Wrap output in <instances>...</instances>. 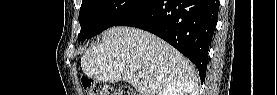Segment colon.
Masks as SVG:
<instances>
[{
    "label": "colon",
    "mask_w": 277,
    "mask_h": 95,
    "mask_svg": "<svg viewBox=\"0 0 277 95\" xmlns=\"http://www.w3.org/2000/svg\"><path fill=\"white\" fill-rule=\"evenodd\" d=\"M82 85L88 95H137L130 86H120L114 89L102 81L88 78L82 80Z\"/></svg>",
    "instance_id": "5ec220e1"
}]
</instances>
